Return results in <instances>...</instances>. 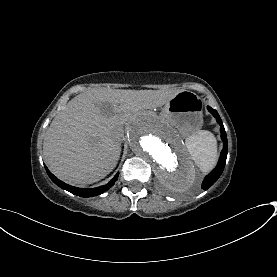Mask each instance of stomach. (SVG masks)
<instances>
[{
    "label": "stomach",
    "instance_id": "obj_1",
    "mask_svg": "<svg viewBox=\"0 0 277 277\" xmlns=\"http://www.w3.org/2000/svg\"><path fill=\"white\" fill-rule=\"evenodd\" d=\"M161 116L189 137L200 131L203 124L202 102L193 92L182 90L165 104Z\"/></svg>",
    "mask_w": 277,
    "mask_h": 277
}]
</instances>
